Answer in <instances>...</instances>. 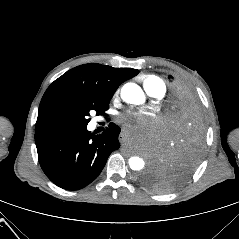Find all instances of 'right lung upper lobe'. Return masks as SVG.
Segmentation results:
<instances>
[{
  "label": "right lung upper lobe",
  "instance_id": "cb5924a9",
  "mask_svg": "<svg viewBox=\"0 0 239 239\" xmlns=\"http://www.w3.org/2000/svg\"><path fill=\"white\" fill-rule=\"evenodd\" d=\"M139 73L131 68L89 63L77 66L55 80L40 102L37 124L46 115L61 108L77 107L87 101H110L116 89ZM40 130L35 128V132Z\"/></svg>",
  "mask_w": 239,
  "mask_h": 239
}]
</instances>
